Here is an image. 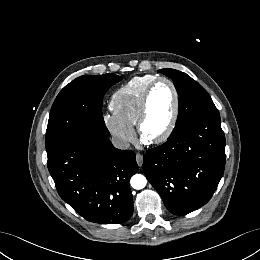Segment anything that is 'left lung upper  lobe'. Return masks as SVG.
<instances>
[{"instance_id": "5c2ea615", "label": "left lung upper lobe", "mask_w": 260, "mask_h": 260, "mask_svg": "<svg viewBox=\"0 0 260 260\" xmlns=\"http://www.w3.org/2000/svg\"><path fill=\"white\" fill-rule=\"evenodd\" d=\"M159 72L174 80L179 94L178 118L170 137L175 136L181 129L199 118L219 116L210 95L189 75L174 69H162Z\"/></svg>"}]
</instances>
